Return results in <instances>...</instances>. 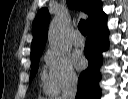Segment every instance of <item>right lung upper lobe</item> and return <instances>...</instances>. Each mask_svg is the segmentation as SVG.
<instances>
[{
    "instance_id": "right-lung-upper-lobe-1",
    "label": "right lung upper lobe",
    "mask_w": 128,
    "mask_h": 99,
    "mask_svg": "<svg viewBox=\"0 0 128 99\" xmlns=\"http://www.w3.org/2000/svg\"><path fill=\"white\" fill-rule=\"evenodd\" d=\"M67 4L69 8L82 10L88 15L87 25L102 12V2L100 0H67ZM49 21L48 9H40L33 22L31 58L41 55L44 50Z\"/></svg>"
}]
</instances>
